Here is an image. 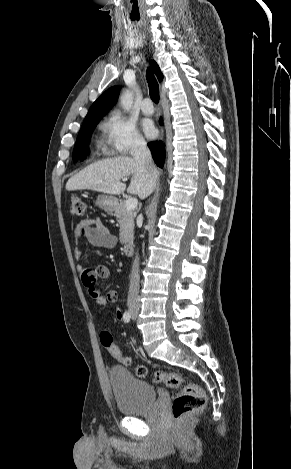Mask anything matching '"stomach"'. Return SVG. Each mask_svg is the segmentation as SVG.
<instances>
[{
  "instance_id": "1",
  "label": "stomach",
  "mask_w": 291,
  "mask_h": 469,
  "mask_svg": "<svg viewBox=\"0 0 291 469\" xmlns=\"http://www.w3.org/2000/svg\"><path fill=\"white\" fill-rule=\"evenodd\" d=\"M95 204L106 212H112L118 205L116 197L106 194L98 195Z\"/></svg>"
}]
</instances>
